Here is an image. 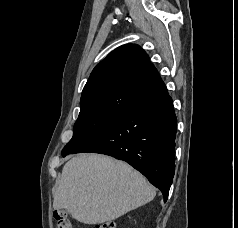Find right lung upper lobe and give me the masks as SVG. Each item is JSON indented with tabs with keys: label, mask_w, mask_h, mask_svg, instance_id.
<instances>
[{
	"label": "right lung upper lobe",
	"mask_w": 238,
	"mask_h": 228,
	"mask_svg": "<svg viewBox=\"0 0 238 228\" xmlns=\"http://www.w3.org/2000/svg\"><path fill=\"white\" fill-rule=\"evenodd\" d=\"M167 92L148 55L136 44L112 51L92 71L81 96L80 112H120Z\"/></svg>",
	"instance_id": "obj_1"
}]
</instances>
